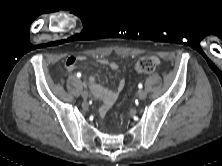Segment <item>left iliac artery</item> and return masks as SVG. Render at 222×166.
I'll return each instance as SVG.
<instances>
[{"label":"left iliac artery","instance_id":"44dca946","mask_svg":"<svg viewBox=\"0 0 222 166\" xmlns=\"http://www.w3.org/2000/svg\"><path fill=\"white\" fill-rule=\"evenodd\" d=\"M138 87H139V88H142L143 86H142V84H139Z\"/></svg>","mask_w":222,"mask_h":166}]
</instances>
